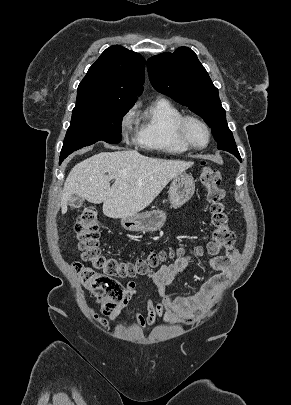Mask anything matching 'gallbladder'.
Returning a JSON list of instances; mask_svg holds the SVG:
<instances>
[{
	"instance_id": "1",
	"label": "gallbladder",
	"mask_w": 291,
	"mask_h": 405,
	"mask_svg": "<svg viewBox=\"0 0 291 405\" xmlns=\"http://www.w3.org/2000/svg\"><path fill=\"white\" fill-rule=\"evenodd\" d=\"M83 199L82 198H79V197H76V196H74L70 201H69V205L72 207V208H80L81 206H82V204H83Z\"/></svg>"
}]
</instances>
